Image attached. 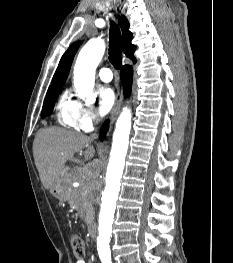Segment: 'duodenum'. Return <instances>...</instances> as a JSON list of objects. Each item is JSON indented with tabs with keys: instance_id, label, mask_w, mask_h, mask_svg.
I'll use <instances>...</instances> for the list:
<instances>
[{
	"instance_id": "duodenum-1",
	"label": "duodenum",
	"mask_w": 233,
	"mask_h": 263,
	"mask_svg": "<svg viewBox=\"0 0 233 263\" xmlns=\"http://www.w3.org/2000/svg\"><path fill=\"white\" fill-rule=\"evenodd\" d=\"M96 232H97L96 224L94 222L90 223L89 224V235L92 239L96 237Z\"/></svg>"
}]
</instances>
